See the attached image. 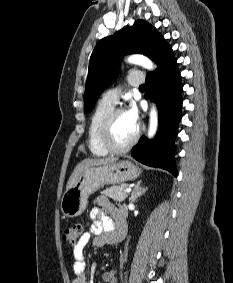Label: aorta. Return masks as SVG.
I'll return each mask as SVG.
<instances>
[{
    "instance_id": "1",
    "label": "aorta",
    "mask_w": 233,
    "mask_h": 283,
    "mask_svg": "<svg viewBox=\"0 0 233 283\" xmlns=\"http://www.w3.org/2000/svg\"><path fill=\"white\" fill-rule=\"evenodd\" d=\"M128 62L136 65H140L148 70H153L154 65L153 62L143 56V55H131L128 57ZM158 128V113L155 105H152L150 111V119H149V128H148V137L153 138L157 132Z\"/></svg>"
}]
</instances>
